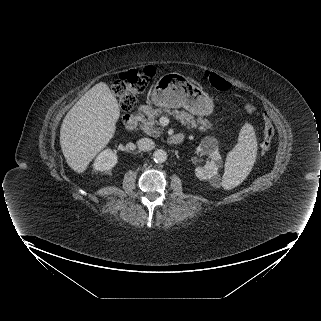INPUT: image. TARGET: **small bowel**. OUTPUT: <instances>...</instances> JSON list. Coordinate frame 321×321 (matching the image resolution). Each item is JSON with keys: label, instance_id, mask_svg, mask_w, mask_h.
<instances>
[{"label": "small bowel", "instance_id": "small-bowel-1", "mask_svg": "<svg viewBox=\"0 0 321 321\" xmlns=\"http://www.w3.org/2000/svg\"><path fill=\"white\" fill-rule=\"evenodd\" d=\"M241 100H242L244 107L246 108L247 111H249V112L254 111L255 108H254L253 104L246 97H242Z\"/></svg>", "mask_w": 321, "mask_h": 321}]
</instances>
